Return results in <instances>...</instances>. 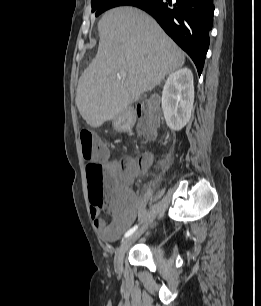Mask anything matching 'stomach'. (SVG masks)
<instances>
[{
	"label": "stomach",
	"instance_id": "1",
	"mask_svg": "<svg viewBox=\"0 0 261 306\" xmlns=\"http://www.w3.org/2000/svg\"><path fill=\"white\" fill-rule=\"evenodd\" d=\"M114 124L118 130H130L134 124V118L129 112L125 111L118 115Z\"/></svg>",
	"mask_w": 261,
	"mask_h": 306
}]
</instances>
